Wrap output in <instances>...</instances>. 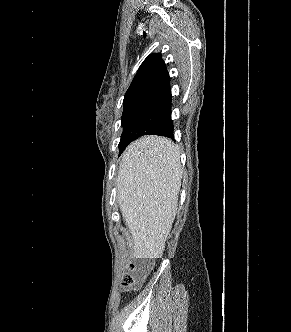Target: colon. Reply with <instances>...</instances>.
<instances>
[{"label":"colon","mask_w":291,"mask_h":332,"mask_svg":"<svg viewBox=\"0 0 291 332\" xmlns=\"http://www.w3.org/2000/svg\"><path fill=\"white\" fill-rule=\"evenodd\" d=\"M149 269L147 263L131 264L129 272L124 275L122 285L126 289H133L139 286Z\"/></svg>","instance_id":"5ec220e1"}]
</instances>
